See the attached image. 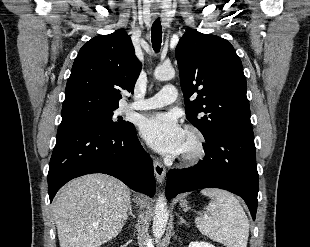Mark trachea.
<instances>
[{"label": "trachea", "instance_id": "1", "mask_svg": "<svg viewBox=\"0 0 310 247\" xmlns=\"http://www.w3.org/2000/svg\"><path fill=\"white\" fill-rule=\"evenodd\" d=\"M151 41L154 51L159 52L162 42V26L159 18H157L152 25Z\"/></svg>", "mask_w": 310, "mask_h": 247}]
</instances>
